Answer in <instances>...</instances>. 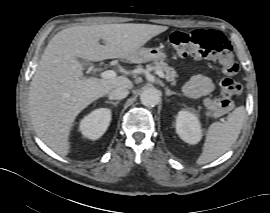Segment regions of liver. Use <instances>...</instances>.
<instances>
[{"mask_svg":"<svg viewBox=\"0 0 270 213\" xmlns=\"http://www.w3.org/2000/svg\"><path fill=\"white\" fill-rule=\"evenodd\" d=\"M167 26L103 24L59 31L48 43L29 89V115L40 139L61 156L69 153V134L77 115L119 87L131 89L126 76L82 78L86 61L132 60L136 51ZM102 39L105 45H101Z\"/></svg>","mask_w":270,"mask_h":213,"instance_id":"1","label":"liver"}]
</instances>
